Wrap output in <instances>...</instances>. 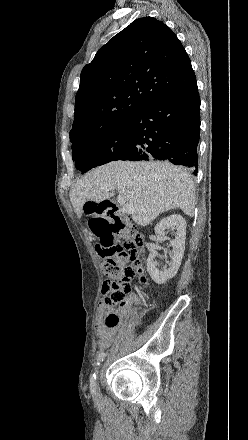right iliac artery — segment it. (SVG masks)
I'll return each instance as SVG.
<instances>
[{
    "mask_svg": "<svg viewBox=\"0 0 248 440\" xmlns=\"http://www.w3.org/2000/svg\"><path fill=\"white\" fill-rule=\"evenodd\" d=\"M106 355H107V353H105V352H101V353L98 354V357H97L98 358L97 359L98 360V364L105 359ZM95 379H96V375L93 374L91 376V382H93Z\"/></svg>",
    "mask_w": 248,
    "mask_h": 440,
    "instance_id": "right-iliac-artery-1",
    "label": "right iliac artery"
}]
</instances>
